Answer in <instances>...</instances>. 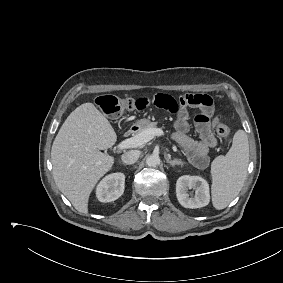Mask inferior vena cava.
Segmentation results:
<instances>
[{
    "instance_id": "obj_1",
    "label": "inferior vena cava",
    "mask_w": 283,
    "mask_h": 283,
    "mask_svg": "<svg viewBox=\"0 0 283 283\" xmlns=\"http://www.w3.org/2000/svg\"><path fill=\"white\" fill-rule=\"evenodd\" d=\"M140 156L139 150H130L122 154L121 159L125 164H134Z\"/></svg>"
}]
</instances>
